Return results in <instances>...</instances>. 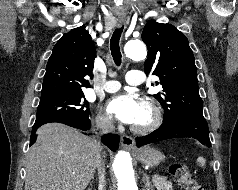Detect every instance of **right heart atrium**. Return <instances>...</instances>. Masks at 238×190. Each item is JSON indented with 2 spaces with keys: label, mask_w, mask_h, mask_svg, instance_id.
I'll return each mask as SVG.
<instances>
[{
  "label": "right heart atrium",
  "mask_w": 238,
  "mask_h": 190,
  "mask_svg": "<svg viewBox=\"0 0 238 190\" xmlns=\"http://www.w3.org/2000/svg\"><path fill=\"white\" fill-rule=\"evenodd\" d=\"M95 121L97 126L101 129L110 130L113 127L112 119L101 112L96 113Z\"/></svg>",
  "instance_id": "d8ad5b80"
}]
</instances>
